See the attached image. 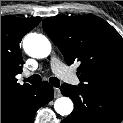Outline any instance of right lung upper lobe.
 <instances>
[{
	"instance_id": "right-lung-upper-lobe-1",
	"label": "right lung upper lobe",
	"mask_w": 123,
	"mask_h": 123,
	"mask_svg": "<svg viewBox=\"0 0 123 123\" xmlns=\"http://www.w3.org/2000/svg\"><path fill=\"white\" fill-rule=\"evenodd\" d=\"M40 18L1 17V101L18 97L34 86L17 83L22 72L20 42L23 36L39 24Z\"/></svg>"
}]
</instances>
